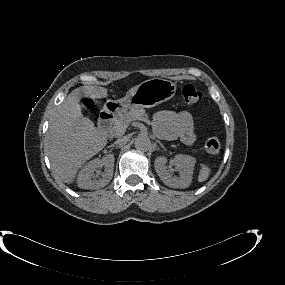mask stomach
<instances>
[{
    "label": "stomach",
    "mask_w": 285,
    "mask_h": 285,
    "mask_svg": "<svg viewBox=\"0 0 285 285\" xmlns=\"http://www.w3.org/2000/svg\"><path fill=\"white\" fill-rule=\"evenodd\" d=\"M175 93V83L153 78L140 83L132 95H126L119 100H107L103 110L109 114L119 115L134 108H150L170 100Z\"/></svg>",
    "instance_id": "stomach-1"
}]
</instances>
